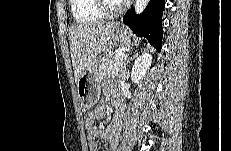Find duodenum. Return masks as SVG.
<instances>
[{
	"instance_id": "1",
	"label": "duodenum",
	"mask_w": 231,
	"mask_h": 151,
	"mask_svg": "<svg viewBox=\"0 0 231 151\" xmlns=\"http://www.w3.org/2000/svg\"><path fill=\"white\" fill-rule=\"evenodd\" d=\"M114 105H115V104H114ZM115 107H116V115H119V113H120L119 106H118V105H115Z\"/></svg>"
}]
</instances>
